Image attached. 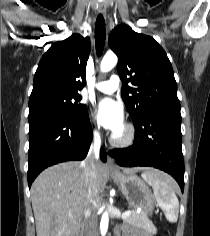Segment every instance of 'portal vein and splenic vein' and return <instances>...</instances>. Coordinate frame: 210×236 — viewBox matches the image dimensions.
Here are the masks:
<instances>
[{
  "instance_id": "obj_1",
  "label": "portal vein and splenic vein",
  "mask_w": 210,
  "mask_h": 236,
  "mask_svg": "<svg viewBox=\"0 0 210 236\" xmlns=\"http://www.w3.org/2000/svg\"><path fill=\"white\" fill-rule=\"evenodd\" d=\"M131 214V211L130 210H128V211H125L123 214H122V218H126V217H128L129 215Z\"/></svg>"
}]
</instances>
